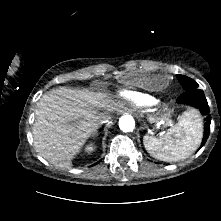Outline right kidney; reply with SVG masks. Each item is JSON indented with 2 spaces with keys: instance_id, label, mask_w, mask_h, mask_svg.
Listing matches in <instances>:
<instances>
[{
  "instance_id": "1",
  "label": "right kidney",
  "mask_w": 221,
  "mask_h": 221,
  "mask_svg": "<svg viewBox=\"0 0 221 221\" xmlns=\"http://www.w3.org/2000/svg\"><path fill=\"white\" fill-rule=\"evenodd\" d=\"M93 150H94V147H93L92 144H90V145H88V146L86 147V151H87V152H91V151H93Z\"/></svg>"
}]
</instances>
